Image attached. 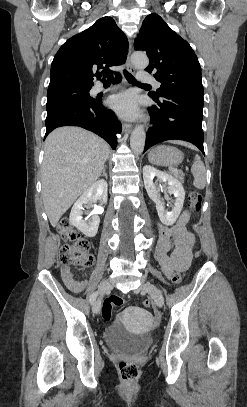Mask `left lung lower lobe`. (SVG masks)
Returning <instances> with one entry per match:
<instances>
[{"instance_id":"1","label":"left lung lower lobe","mask_w":247,"mask_h":407,"mask_svg":"<svg viewBox=\"0 0 247 407\" xmlns=\"http://www.w3.org/2000/svg\"><path fill=\"white\" fill-rule=\"evenodd\" d=\"M157 105L148 108L154 125L147 131L144 152L166 140H184L197 146L204 154L202 130L203 95L172 91Z\"/></svg>"}]
</instances>
